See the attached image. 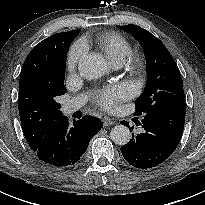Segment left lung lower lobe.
<instances>
[{
  "mask_svg": "<svg viewBox=\"0 0 205 205\" xmlns=\"http://www.w3.org/2000/svg\"><path fill=\"white\" fill-rule=\"evenodd\" d=\"M185 113V103H171L142 115V120L136 121V125L142 127V132L133 134V138L121 147L125 160L140 169L152 168L164 162L181 140ZM122 124L129 126L125 121Z\"/></svg>",
  "mask_w": 205,
  "mask_h": 205,
  "instance_id": "1",
  "label": "left lung lower lobe"
}]
</instances>
